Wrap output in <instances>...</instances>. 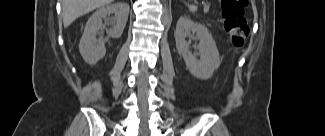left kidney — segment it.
<instances>
[{
	"mask_svg": "<svg viewBox=\"0 0 325 136\" xmlns=\"http://www.w3.org/2000/svg\"><path fill=\"white\" fill-rule=\"evenodd\" d=\"M191 33H195L199 44V53L192 54L189 43L185 40ZM176 48L182 53L189 72L196 78L207 80L220 67L221 60L216 43L209 30L202 24L193 22L186 16H181L175 30ZM200 56V59H197Z\"/></svg>",
	"mask_w": 325,
	"mask_h": 136,
	"instance_id": "5707ae66",
	"label": "left kidney"
}]
</instances>
